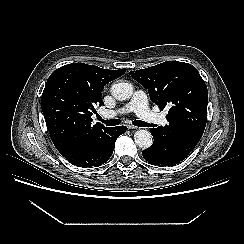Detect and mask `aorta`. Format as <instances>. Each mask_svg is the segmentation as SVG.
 I'll return each instance as SVG.
<instances>
[{
  "label": "aorta",
  "instance_id": "762f6f07",
  "mask_svg": "<svg viewBox=\"0 0 244 244\" xmlns=\"http://www.w3.org/2000/svg\"><path fill=\"white\" fill-rule=\"evenodd\" d=\"M111 94L117 100H127L133 94V86L125 82L113 84L111 86ZM134 141L140 148L145 149L152 145L153 137L149 131L141 129L135 132Z\"/></svg>",
  "mask_w": 244,
  "mask_h": 244
}]
</instances>
